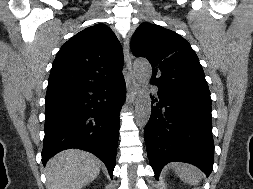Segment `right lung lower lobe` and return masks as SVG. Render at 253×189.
I'll list each match as a JSON object with an SVG mask.
<instances>
[{
  "instance_id": "1",
  "label": "right lung lower lobe",
  "mask_w": 253,
  "mask_h": 189,
  "mask_svg": "<svg viewBox=\"0 0 253 189\" xmlns=\"http://www.w3.org/2000/svg\"><path fill=\"white\" fill-rule=\"evenodd\" d=\"M125 94L123 75L102 84L47 90L43 165L61 150L80 148L100 158L112 177Z\"/></svg>"
}]
</instances>
